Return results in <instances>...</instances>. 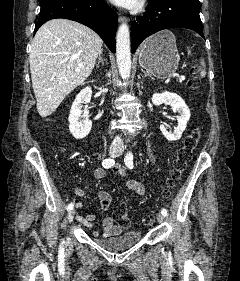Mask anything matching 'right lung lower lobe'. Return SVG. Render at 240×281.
Listing matches in <instances>:
<instances>
[{
  "label": "right lung lower lobe",
  "instance_id": "1",
  "mask_svg": "<svg viewBox=\"0 0 240 281\" xmlns=\"http://www.w3.org/2000/svg\"><path fill=\"white\" fill-rule=\"evenodd\" d=\"M34 33L48 20L66 18L93 29L115 52V35L118 15L104 0H42Z\"/></svg>",
  "mask_w": 240,
  "mask_h": 281
}]
</instances>
